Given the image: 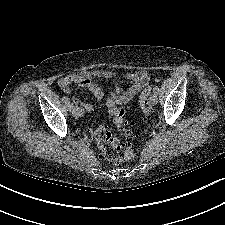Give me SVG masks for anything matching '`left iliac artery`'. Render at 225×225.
Returning <instances> with one entry per match:
<instances>
[{
    "instance_id": "obj_1",
    "label": "left iliac artery",
    "mask_w": 225,
    "mask_h": 225,
    "mask_svg": "<svg viewBox=\"0 0 225 225\" xmlns=\"http://www.w3.org/2000/svg\"><path fill=\"white\" fill-rule=\"evenodd\" d=\"M153 91H154L155 93H158V92H159V87H158V86H155L154 89H153Z\"/></svg>"
}]
</instances>
